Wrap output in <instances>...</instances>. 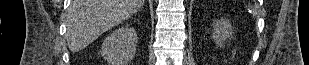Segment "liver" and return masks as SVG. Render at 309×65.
<instances>
[{
	"mask_svg": "<svg viewBox=\"0 0 309 65\" xmlns=\"http://www.w3.org/2000/svg\"><path fill=\"white\" fill-rule=\"evenodd\" d=\"M143 5L144 0H72L66 20L69 49L72 52L84 49Z\"/></svg>",
	"mask_w": 309,
	"mask_h": 65,
	"instance_id": "liver-1",
	"label": "liver"
}]
</instances>
